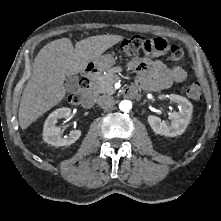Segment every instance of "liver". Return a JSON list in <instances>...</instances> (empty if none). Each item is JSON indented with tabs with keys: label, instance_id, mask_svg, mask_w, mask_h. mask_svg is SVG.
Segmentation results:
<instances>
[{
	"label": "liver",
	"instance_id": "6515ba94",
	"mask_svg": "<svg viewBox=\"0 0 221 221\" xmlns=\"http://www.w3.org/2000/svg\"><path fill=\"white\" fill-rule=\"evenodd\" d=\"M121 40L119 35H97L76 43L68 38L46 44L33 62L32 76L26 84L18 119L26 129L36 119L63 100L67 76L84 72L89 62Z\"/></svg>",
	"mask_w": 221,
	"mask_h": 221
}]
</instances>
